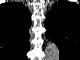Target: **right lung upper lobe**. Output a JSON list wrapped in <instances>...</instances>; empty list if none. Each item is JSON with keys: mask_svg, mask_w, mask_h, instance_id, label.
<instances>
[{"mask_svg": "<svg viewBox=\"0 0 80 60\" xmlns=\"http://www.w3.org/2000/svg\"><path fill=\"white\" fill-rule=\"evenodd\" d=\"M30 26V13L23 5L19 3L2 4L0 6L1 52L22 59L30 47L28 33Z\"/></svg>", "mask_w": 80, "mask_h": 60, "instance_id": "obj_1", "label": "right lung upper lobe"}]
</instances>
